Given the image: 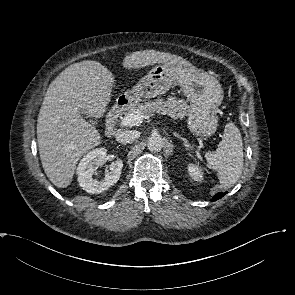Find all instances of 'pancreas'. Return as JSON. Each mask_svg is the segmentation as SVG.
<instances>
[{
	"mask_svg": "<svg viewBox=\"0 0 295 295\" xmlns=\"http://www.w3.org/2000/svg\"><path fill=\"white\" fill-rule=\"evenodd\" d=\"M187 108L188 106L183 100H177L176 97H169L167 100L157 99L153 102L148 101L144 104L133 105L128 110L127 115L139 111L143 115L158 113L183 119L187 115Z\"/></svg>",
	"mask_w": 295,
	"mask_h": 295,
	"instance_id": "obj_1",
	"label": "pancreas"
}]
</instances>
